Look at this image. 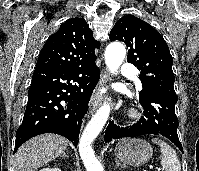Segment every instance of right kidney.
<instances>
[{"mask_svg": "<svg viewBox=\"0 0 199 171\" xmlns=\"http://www.w3.org/2000/svg\"><path fill=\"white\" fill-rule=\"evenodd\" d=\"M40 171H61V170L59 168L54 167V168H43Z\"/></svg>", "mask_w": 199, "mask_h": 171, "instance_id": "right-kidney-1", "label": "right kidney"}]
</instances>
